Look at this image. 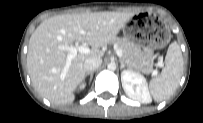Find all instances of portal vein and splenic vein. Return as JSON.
Returning <instances> with one entry per match:
<instances>
[{
  "instance_id": "18ae733b",
  "label": "portal vein and splenic vein",
  "mask_w": 203,
  "mask_h": 123,
  "mask_svg": "<svg viewBox=\"0 0 203 123\" xmlns=\"http://www.w3.org/2000/svg\"><path fill=\"white\" fill-rule=\"evenodd\" d=\"M81 33L85 34V31H81ZM59 48L69 52V54L67 56V61H66V68L69 67L71 60L76 57L78 52L81 53V54H88L90 52V49L86 45H81V46H74V45L60 46ZM115 52H116L118 57H122V55H123L122 50L116 48ZM156 74H157V71H154L153 76H155Z\"/></svg>"
}]
</instances>
